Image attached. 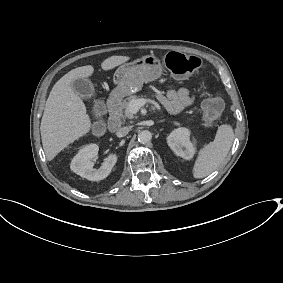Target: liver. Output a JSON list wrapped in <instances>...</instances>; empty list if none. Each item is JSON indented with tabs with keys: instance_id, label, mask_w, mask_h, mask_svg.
Masks as SVG:
<instances>
[{
	"instance_id": "6515ba94",
	"label": "liver",
	"mask_w": 283,
	"mask_h": 283,
	"mask_svg": "<svg viewBox=\"0 0 283 283\" xmlns=\"http://www.w3.org/2000/svg\"><path fill=\"white\" fill-rule=\"evenodd\" d=\"M127 56H111L105 59L101 67L110 70L128 61ZM94 71L87 65L72 69L53 86L46 101L40 132L47 160L51 161L70 143L90 131L91 121L86 107L74 92L72 83L80 78L89 77Z\"/></svg>"
}]
</instances>
